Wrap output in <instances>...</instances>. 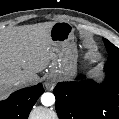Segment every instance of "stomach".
<instances>
[{
  "label": "stomach",
  "instance_id": "stomach-1",
  "mask_svg": "<svg viewBox=\"0 0 119 119\" xmlns=\"http://www.w3.org/2000/svg\"><path fill=\"white\" fill-rule=\"evenodd\" d=\"M52 42V71L64 77H74L77 70V48L74 28L68 22H55L49 32Z\"/></svg>",
  "mask_w": 119,
  "mask_h": 119
}]
</instances>
